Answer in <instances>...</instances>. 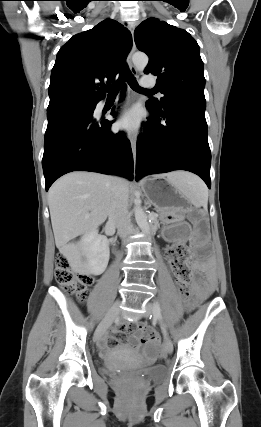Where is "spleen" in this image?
Wrapping results in <instances>:
<instances>
[{
    "mask_svg": "<svg viewBox=\"0 0 261 427\" xmlns=\"http://www.w3.org/2000/svg\"><path fill=\"white\" fill-rule=\"evenodd\" d=\"M180 179L173 180L177 183L183 194L190 200L195 207L203 206L207 209L208 204V190L205 184L198 177L181 172Z\"/></svg>",
    "mask_w": 261,
    "mask_h": 427,
    "instance_id": "1",
    "label": "spleen"
}]
</instances>
